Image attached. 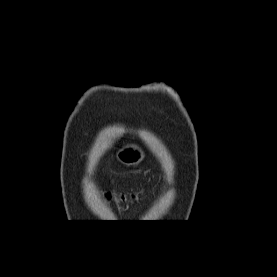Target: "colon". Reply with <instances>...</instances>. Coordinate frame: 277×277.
Masks as SVG:
<instances>
[{"instance_id": "5ec220e1", "label": "colon", "mask_w": 277, "mask_h": 277, "mask_svg": "<svg viewBox=\"0 0 277 277\" xmlns=\"http://www.w3.org/2000/svg\"><path fill=\"white\" fill-rule=\"evenodd\" d=\"M120 201H125V197H122L119 199Z\"/></svg>"}]
</instances>
